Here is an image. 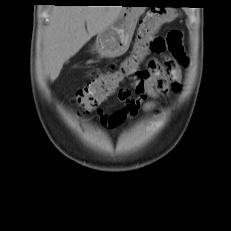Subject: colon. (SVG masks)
Instances as JSON below:
<instances>
[{
    "mask_svg": "<svg viewBox=\"0 0 231 231\" xmlns=\"http://www.w3.org/2000/svg\"><path fill=\"white\" fill-rule=\"evenodd\" d=\"M179 12L173 8L156 7L149 10L139 21L131 54L117 67L91 79L76 94L77 104L85 111L95 109L114 94L125 80L140 81L145 77L141 65L150 53L167 50L164 38L157 36L164 24L173 21Z\"/></svg>",
    "mask_w": 231,
    "mask_h": 231,
    "instance_id": "obj_1",
    "label": "colon"
}]
</instances>
